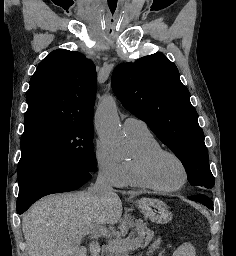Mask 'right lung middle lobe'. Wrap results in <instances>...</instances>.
<instances>
[{
	"label": "right lung middle lobe",
	"instance_id": "obj_1",
	"mask_svg": "<svg viewBox=\"0 0 236 256\" xmlns=\"http://www.w3.org/2000/svg\"><path fill=\"white\" fill-rule=\"evenodd\" d=\"M69 168L87 174L96 171L93 123L57 119L25 121L18 184L40 174Z\"/></svg>",
	"mask_w": 236,
	"mask_h": 256
}]
</instances>
